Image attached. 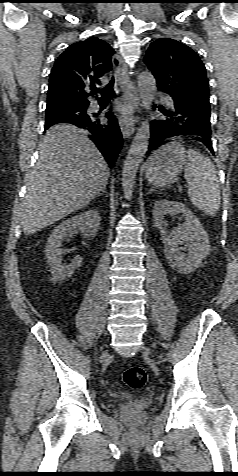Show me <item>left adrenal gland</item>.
<instances>
[{
    "label": "left adrenal gland",
    "mask_w": 238,
    "mask_h": 476,
    "mask_svg": "<svg viewBox=\"0 0 238 476\" xmlns=\"http://www.w3.org/2000/svg\"><path fill=\"white\" fill-rule=\"evenodd\" d=\"M152 192H156V191H155L154 189H150V190L148 191V194H150V193H152Z\"/></svg>",
    "instance_id": "1"
}]
</instances>
